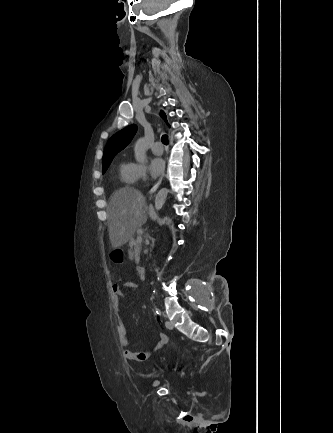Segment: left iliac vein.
Listing matches in <instances>:
<instances>
[{"mask_svg":"<svg viewBox=\"0 0 333 433\" xmlns=\"http://www.w3.org/2000/svg\"><path fill=\"white\" fill-rule=\"evenodd\" d=\"M166 327L171 330L174 328V325L172 322L168 321V322H166Z\"/></svg>","mask_w":333,"mask_h":433,"instance_id":"1","label":"left iliac vein"}]
</instances>
